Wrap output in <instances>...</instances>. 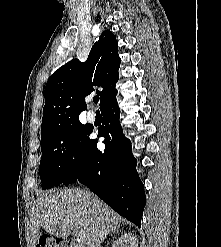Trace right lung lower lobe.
I'll return each instance as SVG.
<instances>
[{"label":"right lung lower lobe","instance_id":"1","mask_svg":"<svg viewBox=\"0 0 221 247\" xmlns=\"http://www.w3.org/2000/svg\"><path fill=\"white\" fill-rule=\"evenodd\" d=\"M101 114L103 125L98 135L105 138V150H98L97 139H90L85 155L62 184L79 181L140 227L146 204L144 185L136 171L137 161L132 155L131 143L124 137L119 123L116 97L101 108Z\"/></svg>","mask_w":221,"mask_h":247}]
</instances>
